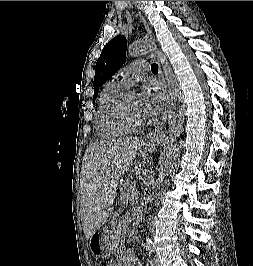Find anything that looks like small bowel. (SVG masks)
Listing matches in <instances>:
<instances>
[{
  "label": "small bowel",
  "mask_w": 253,
  "mask_h": 266,
  "mask_svg": "<svg viewBox=\"0 0 253 266\" xmlns=\"http://www.w3.org/2000/svg\"><path fill=\"white\" fill-rule=\"evenodd\" d=\"M107 266H140L137 257L130 253L119 251L116 254L115 260L109 263Z\"/></svg>",
  "instance_id": "1"
}]
</instances>
